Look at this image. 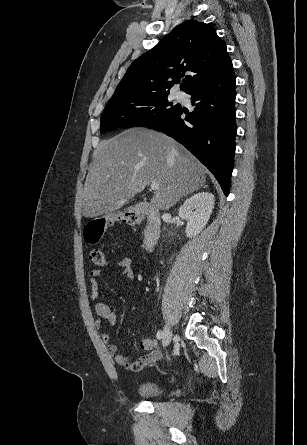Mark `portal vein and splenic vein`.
Returning <instances> with one entry per match:
<instances>
[{
    "mask_svg": "<svg viewBox=\"0 0 307 445\" xmlns=\"http://www.w3.org/2000/svg\"><path fill=\"white\" fill-rule=\"evenodd\" d=\"M150 186H151V188H153V190H157L158 182H151Z\"/></svg>",
    "mask_w": 307,
    "mask_h": 445,
    "instance_id": "portal-vein-and-splenic-vein-1",
    "label": "portal vein and splenic vein"
}]
</instances>
